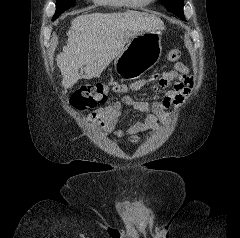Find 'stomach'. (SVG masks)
<instances>
[{"label": "stomach", "instance_id": "stomach-1", "mask_svg": "<svg viewBox=\"0 0 240 238\" xmlns=\"http://www.w3.org/2000/svg\"><path fill=\"white\" fill-rule=\"evenodd\" d=\"M161 39L160 30L133 37L114 60L118 75L124 79H137L151 69L162 54Z\"/></svg>", "mask_w": 240, "mask_h": 238}]
</instances>
